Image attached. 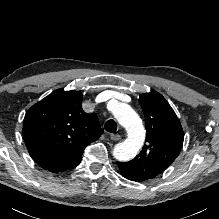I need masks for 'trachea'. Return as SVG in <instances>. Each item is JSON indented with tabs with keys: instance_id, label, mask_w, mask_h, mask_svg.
Returning a JSON list of instances; mask_svg holds the SVG:
<instances>
[{
	"instance_id": "3493384b",
	"label": "trachea",
	"mask_w": 219,
	"mask_h": 219,
	"mask_svg": "<svg viewBox=\"0 0 219 219\" xmlns=\"http://www.w3.org/2000/svg\"><path fill=\"white\" fill-rule=\"evenodd\" d=\"M104 127L109 132H115L117 130V123L113 119H110L105 123Z\"/></svg>"
}]
</instances>
